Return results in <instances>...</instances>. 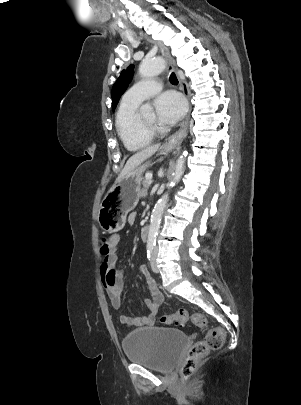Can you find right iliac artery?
<instances>
[{
	"instance_id": "right-iliac-artery-1",
	"label": "right iliac artery",
	"mask_w": 301,
	"mask_h": 405,
	"mask_svg": "<svg viewBox=\"0 0 301 405\" xmlns=\"http://www.w3.org/2000/svg\"><path fill=\"white\" fill-rule=\"evenodd\" d=\"M152 251H153V247H152V246H148V247H147V257H148V258H150L151 254H152Z\"/></svg>"
}]
</instances>
